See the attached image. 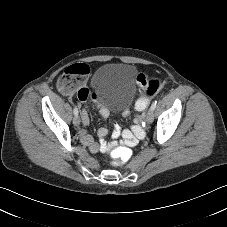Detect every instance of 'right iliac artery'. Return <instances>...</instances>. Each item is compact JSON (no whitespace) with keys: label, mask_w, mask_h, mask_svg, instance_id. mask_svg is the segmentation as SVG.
I'll return each mask as SVG.
<instances>
[{"label":"right iliac artery","mask_w":227,"mask_h":227,"mask_svg":"<svg viewBox=\"0 0 227 227\" xmlns=\"http://www.w3.org/2000/svg\"><path fill=\"white\" fill-rule=\"evenodd\" d=\"M73 113L75 116H78V109L76 107L74 108Z\"/></svg>","instance_id":"obj_1"}]
</instances>
